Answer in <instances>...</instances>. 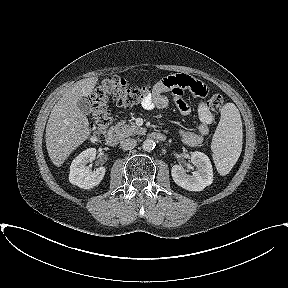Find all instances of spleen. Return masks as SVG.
<instances>
[{
	"instance_id": "obj_1",
	"label": "spleen",
	"mask_w": 288,
	"mask_h": 288,
	"mask_svg": "<svg viewBox=\"0 0 288 288\" xmlns=\"http://www.w3.org/2000/svg\"><path fill=\"white\" fill-rule=\"evenodd\" d=\"M242 121L239 110L233 103L221 109V118L214 133L211 150L216 169L227 175L236 164L242 151Z\"/></svg>"
}]
</instances>
